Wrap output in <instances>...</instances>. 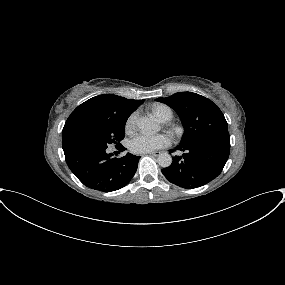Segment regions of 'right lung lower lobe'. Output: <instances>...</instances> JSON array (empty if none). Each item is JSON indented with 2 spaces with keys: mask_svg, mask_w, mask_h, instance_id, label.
<instances>
[{
  "mask_svg": "<svg viewBox=\"0 0 285 285\" xmlns=\"http://www.w3.org/2000/svg\"><path fill=\"white\" fill-rule=\"evenodd\" d=\"M121 150H125L120 146ZM70 170L87 187L111 192L127 185L134 176L140 156L127 153L113 157L104 147L74 146L64 152Z\"/></svg>",
  "mask_w": 285,
  "mask_h": 285,
  "instance_id": "98d812e1",
  "label": "right lung lower lobe"
}]
</instances>
